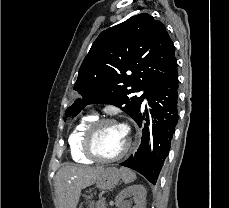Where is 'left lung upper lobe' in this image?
<instances>
[{
  "mask_svg": "<svg viewBox=\"0 0 229 208\" xmlns=\"http://www.w3.org/2000/svg\"><path fill=\"white\" fill-rule=\"evenodd\" d=\"M176 71L174 45L164 24L147 13L135 15L94 41L74 85L82 98L66 109L65 120L92 103L116 105L134 118L146 93ZM142 90L143 95H133Z\"/></svg>",
  "mask_w": 229,
  "mask_h": 208,
  "instance_id": "1",
  "label": "left lung upper lobe"
}]
</instances>
